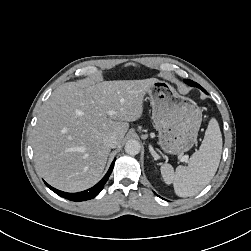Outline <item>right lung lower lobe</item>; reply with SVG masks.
Returning <instances> with one entry per match:
<instances>
[{
    "mask_svg": "<svg viewBox=\"0 0 251 251\" xmlns=\"http://www.w3.org/2000/svg\"><path fill=\"white\" fill-rule=\"evenodd\" d=\"M114 162L115 160L112 162L108 172L106 173V175L100 180V182H98L94 187L82 191V192H78V193H66V192H62L60 190H57L53 187H51L49 184H47L45 182V184L47 185L48 188H50L53 192H55L56 194H58L61 197H64L68 200L71 201H76V202H80V201H85V200H89L92 199L94 197H96L101 190L103 189L105 183L107 182L109 176L111 175V172L113 170V166H114Z\"/></svg>",
    "mask_w": 251,
    "mask_h": 251,
    "instance_id": "98d812e1",
    "label": "right lung lower lobe"
}]
</instances>
